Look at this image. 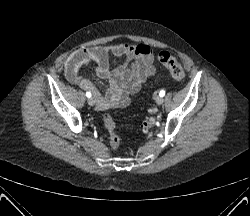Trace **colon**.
Instances as JSON below:
<instances>
[{"label": "colon", "mask_w": 250, "mask_h": 216, "mask_svg": "<svg viewBox=\"0 0 250 216\" xmlns=\"http://www.w3.org/2000/svg\"><path fill=\"white\" fill-rule=\"evenodd\" d=\"M159 62L170 72L171 76L176 80H182L185 77V72L177 61V59L169 52L163 51L158 55ZM104 127L109 134L110 146L112 149H117L120 145V137L116 130V124L110 114H104L102 117ZM155 118L153 114L147 117L142 123V131L147 133L154 127Z\"/></svg>", "instance_id": "5ec220e1"}]
</instances>
